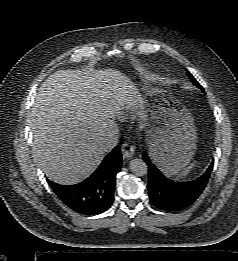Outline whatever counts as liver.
<instances>
[{"mask_svg": "<svg viewBox=\"0 0 238 261\" xmlns=\"http://www.w3.org/2000/svg\"><path fill=\"white\" fill-rule=\"evenodd\" d=\"M121 109L143 120V99L136 86L116 70H60L41 85L31 111L33 156L46 176L77 184L99 166L102 144Z\"/></svg>", "mask_w": 238, "mask_h": 261, "instance_id": "liver-1", "label": "liver"}]
</instances>
